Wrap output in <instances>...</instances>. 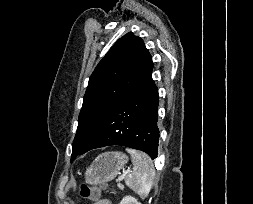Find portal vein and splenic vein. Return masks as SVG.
Returning <instances> with one entry per match:
<instances>
[{
    "label": "portal vein and splenic vein",
    "instance_id": "1",
    "mask_svg": "<svg viewBox=\"0 0 253 204\" xmlns=\"http://www.w3.org/2000/svg\"><path fill=\"white\" fill-rule=\"evenodd\" d=\"M132 171L130 169H127L126 171L123 172V174L119 177V181H121L122 179L125 178V176L129 173H131Z\"/></svg>",
    "mask_w": 253,
    "mask_h": 204
}]
</instances>
